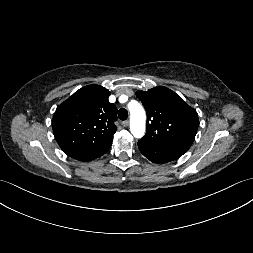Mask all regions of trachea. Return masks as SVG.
<instances>
[{
	"instance_id": "obj_1",
	"label": "trachea",
	"mask_w": 253,
	"mask_h": 253,
	"mask_svg": "<svg viewBox=\"0 0 253 253\" xmlns=\"http://www.w3.org/2000/svg\"><path fill=\"white\" fill-rule=\"evenodd\" d=\"M118 117L120 120H126L128 118V112L125 108H121L118 111Z\"/></svg>"
}]
</instances>
